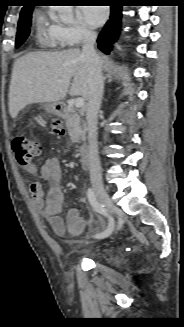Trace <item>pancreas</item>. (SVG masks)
<instances>
[{"label": "pancreas", "mask_w": 184, "mask_h": 327, "mask_svg": "<svg viewBox=\"0 0 184 327\" xmlns=\"http://www.w3.org/2000/svg\"><path fill=\"white\" fill-rule=\"evenodd\" d=\"M66 127L68 129V133L70 139L73 142H79L85 137V129L82 121L80 119V115L76 112L74 108L69 110L68 116L66 117Z\"/></svg>", "instance_id": "obj_1"}]
</instances>
